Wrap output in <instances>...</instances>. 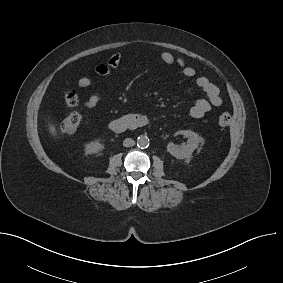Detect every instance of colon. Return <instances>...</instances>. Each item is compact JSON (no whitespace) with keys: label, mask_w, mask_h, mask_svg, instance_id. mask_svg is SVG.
Instances as JSON below:
<instances>
[{"label":"colon","mask_w":283,"mask_h":283,"mask_svg":"<svg viewBox=\"0 0 283 283\" xmlns=\"http://www.w3.org/2000/svg\"><path fill=\"white\" fill-rule=\"evenodd\" d=\"M65 102L68 107L73 108L77 104L74 94H67ZM82 122V116L77 111H71L60 123V129L65 133L75 132ZM219 126L227 128L231 124V115L228 112H222L218 118Z\"/></svg>","instance_id":"colon-1"}]
</instances>
